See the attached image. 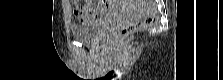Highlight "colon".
I'll return each mask as SVG.
<instances>
[{
    "instance_id": "obj_1",
    "label": "colon",
    "mask_w": 223,
    "mask_h": 80,
    "mask_svg": "<svg viewBox=\"0 0 223 80\" xmlns=\"http://www.w3.org/2000/svg\"><path fill=\"white\" fill-rule=\"evenodd\" d=\"M73 4L82 5L81 1L79 0H73ZM156 22V16L154 13H150L146 15L143 19H141L138 22L135 23H127L123 26H121L119 29H117L113 34V40H119L137 29L141 26H150L153 25Z\"/></svg>"
}]
</instances>
